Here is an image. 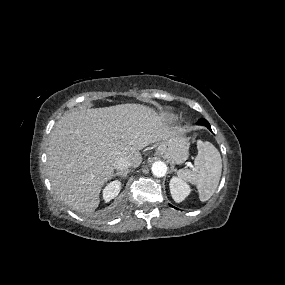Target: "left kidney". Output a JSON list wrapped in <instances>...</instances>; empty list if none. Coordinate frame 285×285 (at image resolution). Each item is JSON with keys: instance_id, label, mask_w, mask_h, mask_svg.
I'll return each mask as SVG.
<instances>
[{"instance_id": "left-kidney-1", "label": "left kidney", "mask_w": 285, "mask_h": 285, "mask_svg": "<svg viewBox=\"0 0 285 285\" xmlns=\"http://www.w3.org/2000/svg\"><path fill=\"white\" fill-rule=\"evenodd\" d=\"M170 192L176 202H182L189 194L190 187L181 178L173 177L170 181Z\"/></svg>"}]
</instances>
